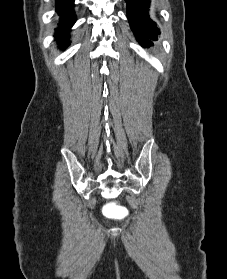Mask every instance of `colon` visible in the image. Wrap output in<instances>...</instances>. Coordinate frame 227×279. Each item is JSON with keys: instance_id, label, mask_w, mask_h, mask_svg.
I'll return each instance as SVG.
<instances>
[{"instance_id": "colon-1", "label": "colon", "mask_w": 227, "mask_h": 279, "mask_svg": "<svg viewBox=\"0 0 227 279\" xmlns=\"http://www.w3.org/2000/svg\"><path fill=\"white\" fill-rule=\"evenodd\" d=\"M128 216V210L125 207H120L119 212L115 215L118 220H124Z\"/></svg>"}]
</instances>
